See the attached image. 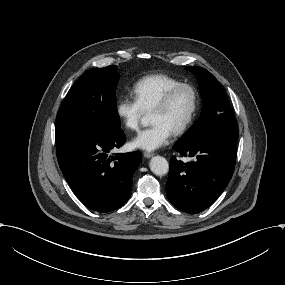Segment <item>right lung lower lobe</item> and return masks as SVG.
<instances>
[{
	"instance_id": "right-lung-lower-lobe-1",
	"label": "right lung lower lobe",
	"mask_w": 285,
	"mask_h": 285,
	"mask_svg": "<svg viewBox=\"0 0 285 285\" xmlns=\"http://www.w3.org/2000/svg\"><path fill=\"white\" fill-rule=\"evenodd\" d=\"M122 131L92 130L56 132V154L62 173L88 208L109 212L130 197L132 176L141 162L139 152L108 155L125 142Z\"/></svg>"
}]
</instances>
